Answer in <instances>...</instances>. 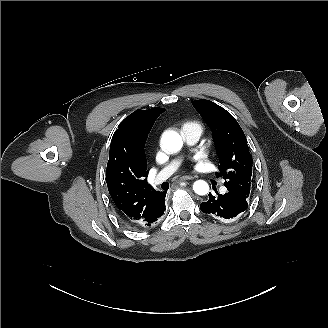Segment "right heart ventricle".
<instances>
[{"mask_svg":"<svg viewBox=\"0 0 328 328\" xmlns=\"http://www.w3.org/2000/svg\"><path fill=\"white\" fill-rule=\"evenodd\" d=\"M185 129L197 131L199 133V135L201 136L205 131V126H204V123L200 120H189L182 124V126L180 128L181 133H183V131Z\"/></svg>","mask_w":328,"mask_h":328,"instance_id":"1","label":"right heart ventricle"}]
</instances>
